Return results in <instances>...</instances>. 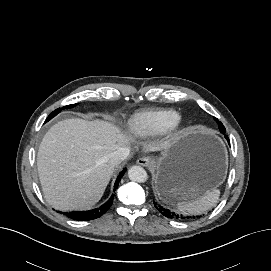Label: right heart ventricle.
Listing matches in <instances>:
<instances>
[{
    "label": "right heart ventricle",
    "mask_w": 271,
    "mask_h": 271,
    "mask_svg": "<svg viewBox=\"0 0 271 271\" xmlns=\"http://www.w3.org/2000/svg\"><path fill=\"white\" fill-rule=\"evenodd\" d=\"M178 116L172 109L142 111L129 119L128 129L137 137L158 134L168 130Z\"/></svg>",
    "instance_id": "1"
}]
</instances>
